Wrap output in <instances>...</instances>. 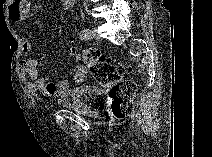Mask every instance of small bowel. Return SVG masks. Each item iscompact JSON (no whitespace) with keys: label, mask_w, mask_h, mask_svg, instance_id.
Returning <instances> with one entry per match:
<instances>
[{"label":"small bowel","mask_w":212,"mask_h":157,"mask_svg":"<svg viewBox=\"0 0 212 157\" xmlns=\"http://www.w3.org/2000/svg\"><path fill=\"white\" fill-rule=\"evenodd\" d=\"M62 6L65 9H70L73 6V0H63ZM30 7L31 0H13L8 3V18L14 22L21 21L29 15ZM57 26L58 23H54V27ZM32 48V43L25 41L22 45V52L28 54L32 51ZM20 74L28 89L40 90L48 97L62 96L70 89V81L68 79L53 82L40 78L39 64L35 59L22 60L20 62Z\"/></svg>","instance_id":"c3829d8e"}]
</instances>
